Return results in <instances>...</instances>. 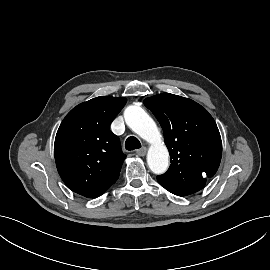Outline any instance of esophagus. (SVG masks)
Here are the masks:
<instances>
[{
	"mask_svg": "<svg viewBox=\"0 0 270 270\" xmlns=\"http://www.w3.org/2000/svg\"><path fill=\"white\" fill-rule=\"evenodd\" d=\"M147 153V148L146 147H142L139 150L136 151V154L138 156H145Z\"/></svg>",
	"mask_w": 270,
	"mask_h": 270,
	"instance_id": "1",
	"label": "esophagus"
}]
</instances>
